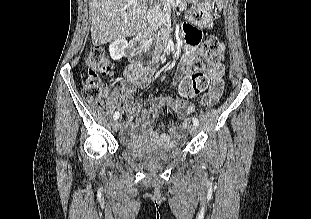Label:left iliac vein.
<instances>
[{"mask_svg":"<svg viewBox=\"0 0 311 219\" xmlns=\"http://www.w3.org/2000/svg\"><path fill=\"white\" fill-rule=\"evenodd\" d=\"M197 132H198V128H197V126L196 125H190V127H189V133L192 135V136H194V135H196L197 134Z\"/></svg>","mask_w":311,"mask_h":219,"instance_id":"obj_1","label":"left iliac vein"}]
</instances>
